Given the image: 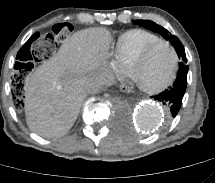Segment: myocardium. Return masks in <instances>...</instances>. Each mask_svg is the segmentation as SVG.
<instances>
[{"label":"myocardium","mask_w":215,"mask_h":183,"mask_svg":"<svg viewBox=\"0 0 215 183\" xmlns=\"http://www.w3.org/2000/svg\"><path fill=\"white\" fill-rule=\"evenodd\" d=\"M160 45H166L168 46V48L172 51L173 53V56H174V68H173V72L170 76V78L165 82L163 83L162 85L158 86V87H154V88H146V87H143L141 86L139 83H138V80L136 78V75H135V67L142 63L148 56L149 54L158 46ZM129 70H130V75L133 79V81L135 82V84L137 85V87L148 93V94H158V93H161L162 91H164L165 89H167L169 86H171L173 84V82L175 81V79L177 78V75H178V71H179V55H178V52L176 51L175 47L169 42V41H166V40H158L156 42H153L151 44H149L148 46H146L133 60L132 62L130 63V66H129Z\"/></svg>","instance_id":"obj_1"}]
</instances>
